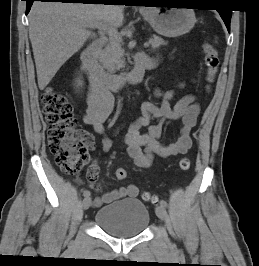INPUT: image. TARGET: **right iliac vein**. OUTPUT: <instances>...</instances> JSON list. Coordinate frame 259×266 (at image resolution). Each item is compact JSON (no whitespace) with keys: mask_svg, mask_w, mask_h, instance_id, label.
<instances>
[{"mask_svg":"<svg viewBox=\"0 0 259 266\" xmlns=\"http://www.w3.org/2000/svg\"><path fill=\"white\" fill-rule=\"evenodd\" d=\"M91 205V198H85L82 203V207L84 210H87Z\"/></svg>","mask_w":259,"mask_h":266,"instance_id":"obj_1","label":"right iliac vein"}]
</instances>
